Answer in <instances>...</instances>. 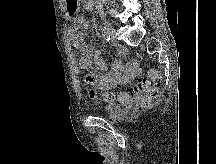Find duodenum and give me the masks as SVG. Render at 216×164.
Returning a JSON list of instances; mask_svg holds the SVG:
<instances>
[{
	"label": "duodenum",
	"mask_w": 216,
	"mask_h": 164,
	"mask_svg": "<svg viewBox=\"0 0 216 164\" xmlns=\"http://www.w3.org/2000/svg\"><path fill=\"white\" fill-rule=\"evenodd\" d=\"M92 0H86L87 3H91ZM88 6H90L91 4H87Z\"/></svg>",
	"instance_id": "duodenum-1"
}]
</instances>
